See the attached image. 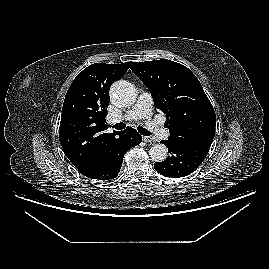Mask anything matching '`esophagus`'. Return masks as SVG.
Wrapping results in <instances>:
<instances>
[{"label": "esophagus", "instance_id": "esophagus-1", "mask_svg": "<svg viewBox=\"0 0 269 269\" xmlns=\"http://www.w3.org/2000/svg\"><path fill=\"white\" fill-rule=\"evenodd\" d=\"M142 140L147 143L155 142L154 138H152L151 136H142Z\"/></svg>", "mask_w": 269, "mask_h": 269}]
</instances>
